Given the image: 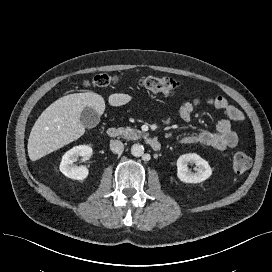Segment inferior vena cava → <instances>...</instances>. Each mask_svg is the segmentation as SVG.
Returning a JSON list of instances; mask_svg holds the SVG:
<instances>
[{
  "mask_svg": "<svg viewBox=\"0 0 272 272\" xmlns=\"http://www.w3.org/2000/svg\"><path fill=\"white\" fill-rule=\"evenodd\" d=\"M110 149L113 153L120 154L124 150V145L119 140H112L110 142Z\"/></svg>",
  "mask_w": 272,
  "mask_h": 272,
  "instance_id": "1",
  "label": "inferior vena cava"
}]
</instances>
